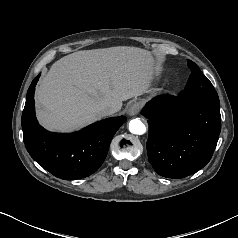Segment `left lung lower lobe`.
I'll use <instances>...</instances> for the list:
<instances>
[{
	"label": "left lung lower lobe",
	"instance_id": "0a47b994",
	"mask_svg": "<svg viewBox=\"0 0 238 238\" xmlns=\"http://www.w3.org/2000/svg\"><path fill=\"white\" fill-rule=\"evenodd\" d=\"M148 119V158L161 176H189L210 161L221 131L219 98L159 96L142 110Z\"/></svg>",
	"mask_w": 238,
	"mask_h": 238
}]
</instances>
